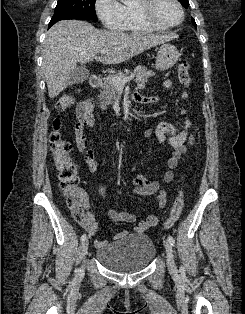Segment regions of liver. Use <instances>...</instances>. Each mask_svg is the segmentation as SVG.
Masks as SVG:
<instances>
[{
    "mask_svg": "<svg viewBox=\"0 0 245 314\" xmlns=\"http://www.w3.org/2000/svg\"><path fill=\"white\" fill-rule=\"evenodd\" d=\"M177 37L174 33L128 34L98 30L86 21H60L46 33L42 46V69L49 97L58 96L67 87L69 75L78 63L85 64L95 58L105 64H119ZM102 50L108 53L96 57Z\"/></svg>",
    "mask_w": 245,
    "mask_h": 314,
    "instance_id": "obj_1",
    "label": "liver"
}]
</instances>
